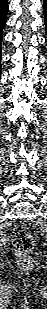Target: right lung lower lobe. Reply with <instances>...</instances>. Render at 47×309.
<instances>
[{"mask_svg": "<svg viewBox=\"0 0 47 309\" xmlns=\"http://www.w3.org/2000/svg\"><path fill=\"white\" fill-rule=\"evenodd\" d=\"M7 10H8V0H0V60H1V40H2V32H3L2 30H3L4 24L6 23Z\"/></svg>", "mask_w": 47, "mask_h": 309, "instance_id": "obj_1", "label": "right lung lower lobe"}]
</instances>
